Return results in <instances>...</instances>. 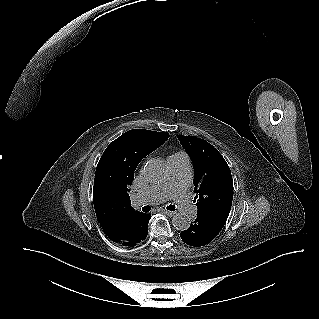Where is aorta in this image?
I'll return each instance as SVG.
<instances>
[{
  "mask_svg": "<svg viewBox=\"0 0 319 319\" xmlns=\"http://www.w3.org/2000/svg\"><path fill=\"white\" fill-rule=\"evenodd\" d=\"M167 168L163 161L159 159H151L144 166V175L152 182H158L165 178ZM191 220L185 213H176L172 218V225L177 230H187Z\"/></svg>",
  "mask_w": 319,
  "mask_h": 319,
  "instance_id": "762f6f07",
  "label": "aorta"
}]
</instances>
